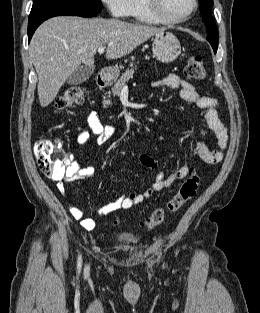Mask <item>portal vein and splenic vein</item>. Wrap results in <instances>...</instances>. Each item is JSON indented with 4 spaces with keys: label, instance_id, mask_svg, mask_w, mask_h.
Returning <instances> with one entry per match:
<instances>
[{
    "label": "portal vein and splenic vein",
    "instance_id": "1",
    "mask_svg": "<svg viewBox=\"0 0 260 313\" xmlns=\"http://www.w3.org/2000/svg\"><path fill=\"white\" fill-rule=\"evenodd\" d=\"M104 50H105V47H103V46L98 48V52L100 54L104 53ZM125 88H127V86H125Z\"/></svg>",
    "mask_w": 260,
    "mask_h": 313
}]
</instances>
